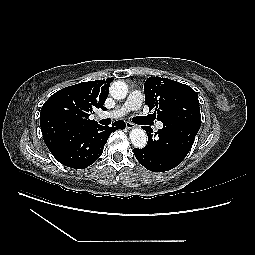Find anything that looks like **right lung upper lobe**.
<instances>
[{"label": "right lung upper lobe", "instance_id": "1", "mask_svg": "<svg viewBox=\"0 0 255 255\" xmlns=\"http://www.w3.org/2000/svg\"><path fill=\"white\" fill-rule=\"evenodd\" d=\"M112 79L82 82L54 93L42 106L40 126L50 151L79 131L98 125L89 116L108 97Z\"/></svg>", "mask_w": 255, "mask_h": 255}]
</instances>
